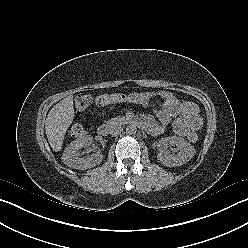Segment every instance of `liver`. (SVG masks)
<instances>
[{
	"label": "liver",
	"instance_id": "liver-1",
	"mask_svg": "<svg viewBox=\"0 0 248 248\" xmlns=\"http://www.w3.org/2000/svg\"><path fill=\"white\" fill-rule=\"evenodd\" d=\"M74 119L73 96L70 95L57 103L49 111L45 129L49 144L53 151L62 148L65 133Z\"/></svg>",
	"mask_w": 248,
	"mask_h": 248
}]
</instances>
